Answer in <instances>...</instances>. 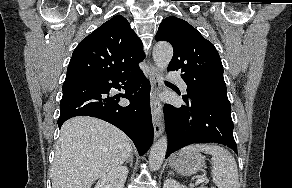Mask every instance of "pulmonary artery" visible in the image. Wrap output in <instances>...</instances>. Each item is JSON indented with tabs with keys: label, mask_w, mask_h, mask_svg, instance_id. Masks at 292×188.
Instances as JSON below:
<instances>
[{
	"label": "pulmonary artery",
	"mask_w": 292,
	"mask_h": 188,
	"mask_svg": "<svg viewBox=\"0 0 292 188\" xmlns=\"http://www.w3.org/2000/svg\"><path fill=\"white\" fill-rule=\"evenodd\" d=\"M169 78L178 81L180 87L183 90H186V88H187L186 84L181 80L180 75L176 71H170Z\"/></svg>",
	"instance_id": "pulmonary-artery-1"
}]
</instances>
